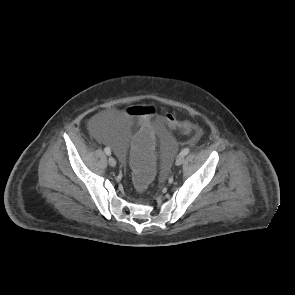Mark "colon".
Wrapping results in <instances>:
<instances>
[{
    "instance_id": "5ec220e1",
    "label": "colon",
    "mask_w": 295,
    "mask_h": 295,
    "mask_svg": "<svg viewBox=\"0 0 295 295\" xmlns=\"http://www.w3.org/2000/svg\"><path fill=\"white\" fill-rule=\"evenodd\" d=\"M120 120L123 127H133L135 138L131 145V161L133 163L131 183L139 191L149 190L155 176V148L156 134L153 125L166 121L172 130L181 129L189 133L193 126L183 122L177 112H162L150 102L134 104L127 101L121 105Z\"/></svg>"
}]
</instances>
